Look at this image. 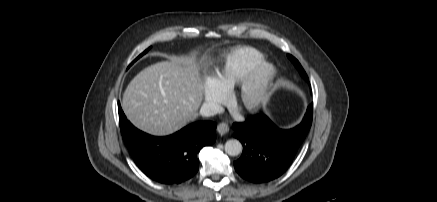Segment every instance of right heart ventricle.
I'll use <instances>...</instances> for the list:
<instances>
[{"label":"right heart ventricle","mask_w":437,"mask_h":202,"mask_svg":"<svg viewBox=\"0 0 437 202\" xmlns=\"http://www.w3.org/2000/svg\"><path fill=\"white\" fill-rule=\"evenodd\" d=\"M263 61V54L255 48H236L226 56L224 64L216 72L214 80L224 90L229 91Z\"/></svg>","instance_id":"obj_1"}]
</instances>
